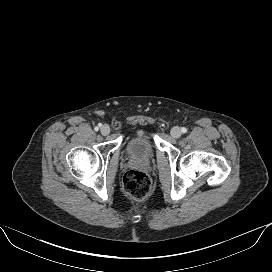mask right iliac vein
Masks as SVG:
<instances>
[{
  "instance_id": "right-iliac-vein-1",
  "label": "right iliac vein",
  "mask_w": 272,
  "mask_h": 272,
  "mask_svg": "<svg viewBox=\"0 0 272 272\" xmlns=\"http://www.w3.org/2000/svg\"><path fill=\"white\" fill-rule=\"evenodd\" d=\"M100 131L102 135H108L110 133V127L108 125H103Z\"/></svg>"
}]
</instances>
